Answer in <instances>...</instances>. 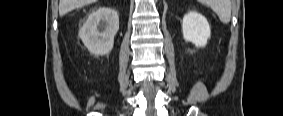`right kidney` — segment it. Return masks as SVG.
<instances>
[{
	"label": "right kidney",
	"instance_id": "ca27d5eb",
	"mask_svg": "<svg viewBox=\"0 0 283 116\" xmlns=\"http://www.w3.org/2000/svg\"><path fill=\"white\" fill-rule=\"evenodd\" d=\"M119 30L117 11L101 7L92 12L79 31V38L94 55H106L114 45V36Z\"/></svg>",
	"mask_w": 283,
	"mask_h": 116
}]
</instances>
